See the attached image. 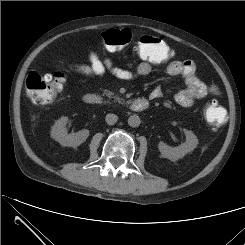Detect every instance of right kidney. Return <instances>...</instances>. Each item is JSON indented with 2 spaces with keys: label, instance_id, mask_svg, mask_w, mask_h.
I'll use <instances>...</instances> for the list:
<instances>
[{
  "label": "right kidney",
  "instance_id": "right-kidney-1",
  "mask_svg": "<svg viewBox=\"0 0 245 245\" xmlns=\"http://www.w3.org/2000/svg\"><path fill=\"white\" fill-rule=\"evenodd\" d=\"M68 117H61L51 129V137L62 146L77 147L86 141L89 130L83 129L74 134H67L66 124Z\"/></svg>",
  "mask_w": 245,
  "mask_h": 245
}]
</instances>
